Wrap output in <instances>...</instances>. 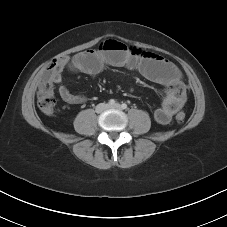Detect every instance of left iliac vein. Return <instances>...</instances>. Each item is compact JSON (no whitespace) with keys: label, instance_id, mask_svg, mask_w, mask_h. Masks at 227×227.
<instances>
[{"label":"left iliac vein","instance_id":"obj_1","mask_svg":"<svg viewBox=\"0 0 227 227\" xmlns=\"http://www.w3.org/2000/svg\"><path fill=\"white\" fill-rule=\"evenodd\" d=\"M108 108L120 110V109H121V106H120L119 104H115V105H110V106H108Z\"/></svg>","mask_w":227,"mask_h":227}]
</instances>
